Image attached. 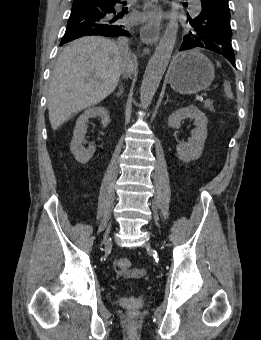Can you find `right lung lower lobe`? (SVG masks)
Returning <instances> with one entry per match:
<instances>
[{
    "mask_svg": "<svg viewBox=\"0 0 261 340\" xmlns=\"http://www.w3.org/2000/svg\"><path fill=\"white\" fill-rule=\"evenodd\" d=\"M120 0H74L63 40L87 35H129L122 29L128 13L116 10Z\"/></svg>",
    "mask_w": 261,
    "mask_h": 340,
    "instance_id": "right-lung-lower-lobe-1",
    "label": "right lung lower lobe"
}]
</instances>
